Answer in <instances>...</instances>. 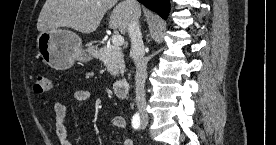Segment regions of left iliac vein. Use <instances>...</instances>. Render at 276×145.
<instances>
[{
	"instance_id": "obj_1",
	"label": "left iliac vein",
	"mask_w": 276,
	"mask_h": 145,
	"mask_svg": "<svg viewBox=\"0 0 276 145\" xmlns=\"http://www.w3.org/2000/svg\"><path fill=\"white\" fill-rule=\"evenodd\" d=\"M148 119L147 117H144L142 122H141V129H144L147 126Z\"/></svg>"
}]
</instances>
